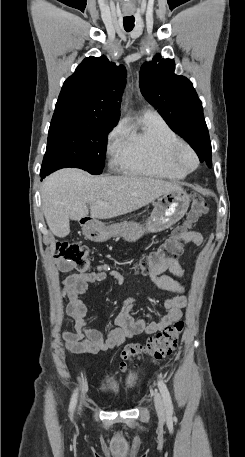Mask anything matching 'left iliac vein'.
Listing matches in <instances>:
<instances>
[{"instance_id": "1", "label": "left iliac vein", "mask_w": 245, "mask_h": 457, "mask_svg": "<svg viewBox=\"0 0 245 457\" xmlns=\"http://www.w3.org/2000/svg\"><path fill=\"white\" fill-rule=\"evenodd\" d=\"M154 404H155V408H156V411H157L159 417L164 418L165 417V408L163 405V401L158 393L154 394Z\"/></svg>"}]
</instances>
